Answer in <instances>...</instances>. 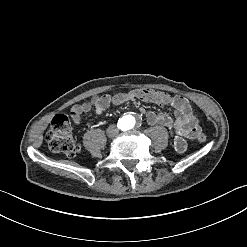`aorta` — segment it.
<instances>
[{
    "label": "aorta",
    "instance_id": "obj_1",
    "mask_svg": "<svg viewBox=\"0 0 247 247\" xmlns=\"http://www.w3.org/2000/svg\"><path fill=\"white\" fill-rule=\"evenodd\" d=\"M131 123H132V121H130V120L128 121V120H127V121L125 122V125L129 126Z\"/></svg>",
    "mask_w": 247,
    "mask_h": 247
}]
</instances>
